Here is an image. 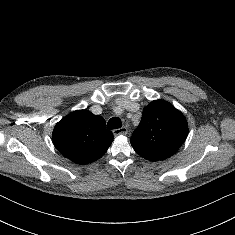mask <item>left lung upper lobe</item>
Wrapping results in <instances>:
<instances>
[{
  "label": "left lung upper lobe",
  "instance_id": "5c2ea615",
  "mask_svg": "<svg viewBox=\"0 0 235 235\" xmlns=\"http://www.w3.org/2000/svg\"><path fill=\"white\" fill-rule=\"evenodd\" d=\"M187 134L188 124L184 115L170 103L155 100L144 108L131 144L147 160H164L178 151Z\"/></svg>",
  "mask_w": 235,
  "mask_h": 235
}]
</instances>
